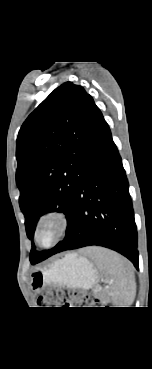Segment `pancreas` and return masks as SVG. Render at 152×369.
Wrapping results in <instances>:
<instances>
[{
  "label": "pancreas",
  "mask_w": 152,
  "mask_h": 369,
  "mask_svg": "<svg viewBox=\"0 0 152 369\" xmlns=\"http://www.w3.org/2000/svg\"><path fill=\"white\" fill-rule=\"evenodd\" d=\"M95 296H98V293L97 292L95 293Z\"/></svg>",
  "instance_id": "1"
}]
</instances>
